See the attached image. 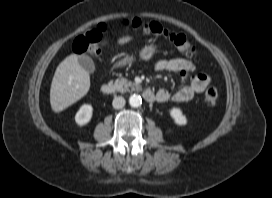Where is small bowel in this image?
Masks as SVG:
<instances>
[{
  "instance_id": "obj_1",
  "label": "small bowel",
  "mask_w": 272,
  "mask_h": 198,
  "mask_svg": "<svg viewBox=\"0 0 272 198\" xmlns=\"http://www.w3.org/2000/svg\"><path fill=\"white\" fill-rule=\"evenodd\" d=\"M155 68L159 71L178 73L187 81L185 85L175 92L166 89L157 91L156 100L160 103L168 101L188 102L196 94L202 93L212 82L210 76L204 73H196V66L191 61L183 58L160 59L156 62Z\"/></svg>"
}]
</instances>
